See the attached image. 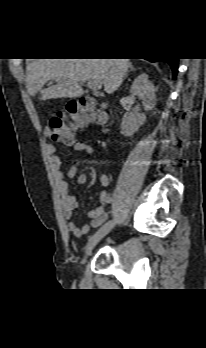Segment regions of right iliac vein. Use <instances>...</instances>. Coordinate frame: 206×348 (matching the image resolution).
Instances as JSON below:
<instances>
[{"label":"right iliac vein","mask_w":206,"mask_h":348,"mask_svg":"<svg viewBox=\"0 0 206 348\" xmlns=\"http://www.w3.org/2000/svg\"><path fill=\"white\" fill-rule=\"evenodd\" d=\"M115 222L109 221L100 227L88 240V243L85 248V256H88L94 247L102 240L114 227Z\"/></svg>","instance_id":"obj_1"}]
</instances>
